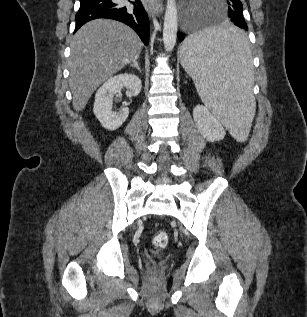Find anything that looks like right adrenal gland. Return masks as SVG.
Returning <instances> with one entry per match:
<instances>
[{
	"label": "right adrenal gland",
	"instance_id": "obj_1",
	"mask_svg": "<svg viewBox=\"0 0 307 317\" xmlns=\"http://www.w3.org/2000/svg\"><path fill=\"white\" fill-rule=\"evenodd\" d=\"M130 67H134V68H136L138 71H140V67H139V65H138L137 59H135V60L133 61V63L130 64Z\"/></svg>",
	"mask_w": 307,
	"mask_h": 317
}]
</instances>
